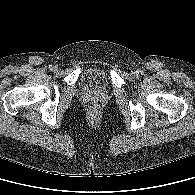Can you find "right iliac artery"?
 Returning a JSON list of instances; mask_svg holds the SVG:
<instances>
[{
	"label": "right iliac artery",
	"mask_w": 195,
	"mask_h": 195,
	"mask_svg": "<svg viewBox=\"0 0 195 195\" xmlns=\"http://www.w3.org/2000/svg\"><path fill=\"white\" fill-rule=\"evenodd\" d=\"M53 68H54V67H53L52 65L49 66V69H50V70H53Z\"/></svg>",
	"instance_id": "right-iliac-artery-1"
}]
</instances>
